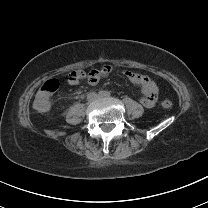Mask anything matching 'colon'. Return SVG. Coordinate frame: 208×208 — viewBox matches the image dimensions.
Here are the masks:
<instances>
[{
	"instance_id": "5ec220e1",
	"label": "colon",
	"mask_w": 208,
	"mask_h": 208,
	"mask_svg": "<svg viewBox=\"0 0 208 208\" xmlns=\"http://www.w3.org/2000/svg\"><path fill=\"white\" fill-rule=\"evenodd\" d=\"M84 70H77L76 72L70 70L67 72V76L65 78L67 83H77L78 77L82 78L85 76ZM59 81L52 78L49 80V82H45L44 85L36 92V99L33 101V106L36 108V110L39 113H46L49 110V103L47 102L52 95L53 92H55L59 86ZM161 105L165 109H169L172 107V101L170 99H164L161 102Z\"/></svg>"
}]
</instances>
